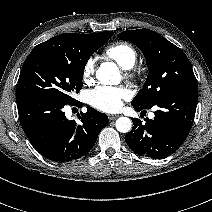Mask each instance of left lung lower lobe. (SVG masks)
<instances>
[{
  "instance_id": "left-lung-lower-lobe-1",
  "label": "left lung lower lobe",
  "mask_w": 212,
  "mask_h": 212,
  "mask_svg": "<svg viewBox=\"0 0 212 212\" xmlns=\"http://www.w3.org/2000/svg\"><path fill=\"white\" fill-rule=\"evenodd\" d=\"M197 100V90L182 91L156 104L158 110L154 112V119L146 118L145 124L133 118L134 126L125 136L127 145L136 154L153 159H162L173 154L190 132ZM133 107L136 111L146 110Z\"/></svg>"
}]
</instances>
